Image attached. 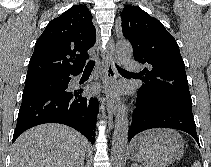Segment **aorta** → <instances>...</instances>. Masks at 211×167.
Masks as SVG:
<instances>
[{
  "instance_id": "obj_1",
  "label": "aorta",
  "mask_w": 211,
  "mask_h": 167,
  "mask_svg": "<svg viewBox=\"0 0 211 167\" xmlns=\"http://www.w3.org/2000/svg\"><path fill=\"white\" fill-rule=\"evenodd\" d=\"M116 54L119 63L125 62L132 55L131 44L126 40L118 41ZM126 110L124 104L118 106L111 148V167H122L124 162L129 126Z\"/></svg>"
}]
</instances>
